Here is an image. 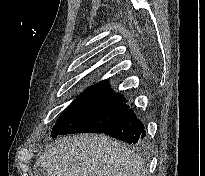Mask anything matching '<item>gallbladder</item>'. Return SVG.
Returning <instances> with one entry per match:
<instances>
[{
  "label": "gallbladder",
  "instance_id": "bac80fb5",
  "mask_svg": "<svg viewBox=\"0 0 205 176\" xmlns=\"http://www.w3.org/2000/svg\"><path fill=\"white\" fill-rule=\"evenodd\" d=\"M33 176H48V173L43 167L36 165L34 167Z\"/></svg>",
  "mask_w": 205,
  "mask_h": 176
}]
</instances>
